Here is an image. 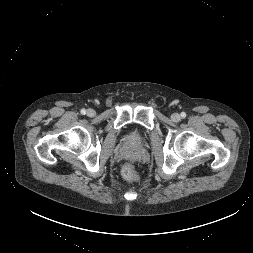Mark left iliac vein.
I'll use <instances>...</instances> for the list:
<instances>
[{
  "label": "left iliac vein",
  "mask_w": 253,
  "mask_h": 253,
  "mask_svg": "<svg viewBox=\"0 0 253 253\" xmlns=\"http://www.w3.org/2000/svg\"><path fill=\"white\" fill-rule=\"evenodd\" d=\"M171 119H172L174 122H178V121L181 119V117H180V115H179L178 113H173V114L171 115Z\"/></svg>",
  "instance_id": "4c4485c4"
}]
</instances>
